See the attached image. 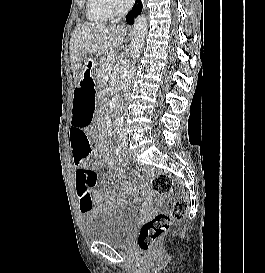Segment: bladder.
I'll use <instances>...</instances> for the list:
<instances>
[{
	"label": "bladder",
	"mask_w": 265,
	"mask_h": 273,
	"mask_svg": "<svg viewBox=\"0 0 265 273\" xmlns=\"http://www.w3.org/2000/svg\"><path fill=\"white\" fill-rule=\"evenodd\" d=\"M137 221V212L129 206L101 208L89 215L84 234L91 241L123 247L133 236Z\"/></svg>",
	"instance_id": "31cf9c89"
}]
</instances>
